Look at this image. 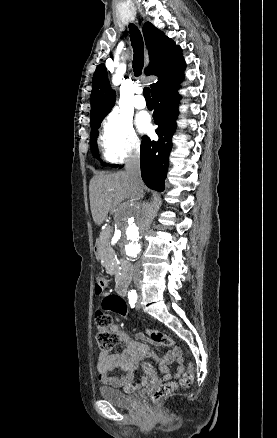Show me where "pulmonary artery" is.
Wrapping results in <instances>:
<instances>
[{"mask_svg":"<svg viewBox=\"0 0 277 438\" xmlns=\"http://www.w3.org/2000/svg\"><path fill=\"white\" fill-rule=\"evenodd\" d=\"M134 93H135V95L140 96V95H142L143 90H142V88L137 87V88H135ZM134 106H135L137 109H144V108L146 107V101H145V99L142 98V97H137V98H135V99H134Z\"/></svg>","mask_w":277,"mask_h":438,"instance_id":"pulmonary-artery-1","label":"pulmonary artery"}]
</instances>
